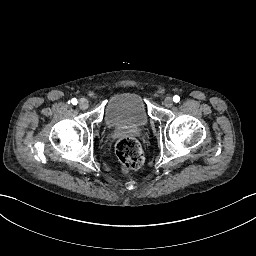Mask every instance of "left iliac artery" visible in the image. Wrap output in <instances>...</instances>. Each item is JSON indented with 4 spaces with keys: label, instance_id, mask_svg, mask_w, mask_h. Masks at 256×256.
<instances>
[{
    "label": "left iliac artery",
    "instance_id": "1",
    "mask_svg": "<svg viewBox=\"0 0 256 256\" xmlns=\"http://www.w3.org/2000/svg\"><path fill=\"white\" fill-rule=\"evenodd\" d=\"M173 101H174L175 103H178V102L180 101V97H179L178 95H175V96L173 97Z\"/></svg>",
    "mask_w": 256,
    "mask_h": 256
}]
</instances>
